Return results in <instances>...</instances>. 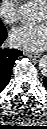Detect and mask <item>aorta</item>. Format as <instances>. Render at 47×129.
<instances>
[{"label": "aorta", "mask_w": 47, "mask_h": 129, "mask_svg": "<svg viewBox=\"0 0 47 129\" xmlns=\"http://www.w3.org/2000/svg\"><path fill=\"white\" fill-rule=\"evenodd\" d=\"M18 14L20 18L24 21H33L37 16V8L32 4H25L20 7ZM41 70L46 73L47 72V59L43 58L40 61Z\"/></svg>", "instance_id": "762f6f07"}]
</instances>
